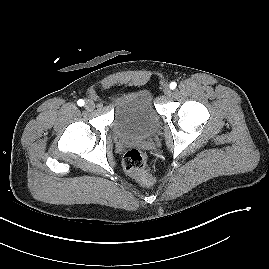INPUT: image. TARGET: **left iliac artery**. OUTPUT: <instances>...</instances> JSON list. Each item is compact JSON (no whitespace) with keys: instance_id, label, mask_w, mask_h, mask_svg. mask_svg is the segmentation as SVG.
I'll use <instances>...</instances> for the list:
<instances>
[{"instance_id":"left-iliac-artery-1","label":"left iliac artery","mask_w":269,"mask_h":269,"mask_svg":"<svg viewBox=\"0 0 269 269\" xmlns=\"http://www.w3.org/2000/svg\"><path fill=\"white\" fill-rule=\"evenodd\" d=\"M176 86H177V84H176V82H171L170 83V89H175L176 88Z\"/></svg>"}]
</instances>
